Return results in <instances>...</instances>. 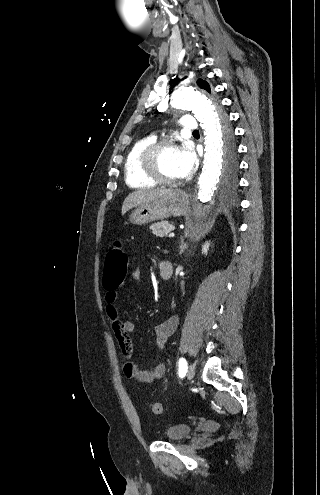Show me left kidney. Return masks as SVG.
I'll list each match as a JSON object with an SVG mask.
<instances>
[{
  "instance_id": "1",
  "label": "left kidney",
  "mask_w": 320,
  "mask_h": 495,
  "mask_svg": "<svg viewBox=\"0 0 320 495\" xmlns=\"http://www.w3.org/2000/svg\"><path fill=\"white\" fill-rule=\"evenodd\" d=\"M209 247H210V241H209V242H206V243L202 246V253H203L204 255H207V254H208Z\"/></svg>"
}]
</instances>
